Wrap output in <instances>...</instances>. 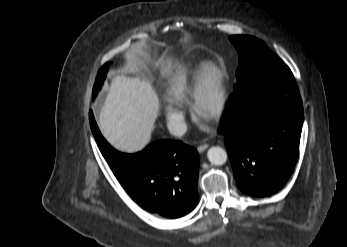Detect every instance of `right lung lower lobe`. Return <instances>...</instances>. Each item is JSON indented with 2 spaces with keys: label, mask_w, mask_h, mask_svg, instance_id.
<instances>
[{
  "label": "right lung lower lobe",
  "mask_w": 347,
  "mask_h": 247,
  "mask_svg": "<svg viewBox=\"0 0 347 247\" xmlns=\"http://www.w3.org/2000/svg\"><path fill=\"white\" fill-rule=\"evenodd\" d=\"M89 121L103 157L136 203L166 218H178L194 209L199 198V156L193 147L180 141L158 140L141 152L124 154L101 135L92 111Z\"/></svg>",
  "instance_id": "right-lung-lower-lobe-1"
}]
</instances>
